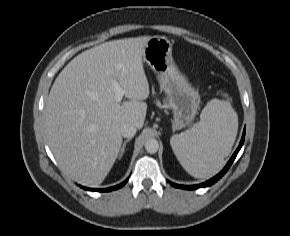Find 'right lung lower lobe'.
Here are the masks:
<instances>
[{"instance_id":"98d812e1","label":"right lung lower lobe","mask_w":290,"mask_h":236,"mask_svg":"<svg viewBox=\"0 0 290 236\" xmlns=\"http://www.w3.org/2000/svg\"><path fill=\"white\" fill-rule=\"evenodd\" d=\"M127 181H128V179H126L124 182H122L121 184H119L117 186L106 188V189H92V188H85V187H82V188H84L86 190H90V191L108 192V191H112V190L121 188Z\"/></svg>"}]
</instances>
